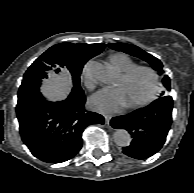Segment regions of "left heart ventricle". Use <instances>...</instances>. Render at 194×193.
<instances>
[{"mask_svg": "<svg viewBox=\"0 0 194 193\" xmlns=\"http://www.w3.org/2000/svg\"><path fill=\"white\" fill-rule=\"evenodd\" d=\"M116 87L123 91L126 105L133 104L148 95L152 87V78L149 73L139 71L127 80L120 77Z\"/></svg>", "mask_w": 194, "mask_h": 193, "instance_id": "left-heart-ventricle-1", "label": "left heart ventricle"}]
</instances>
